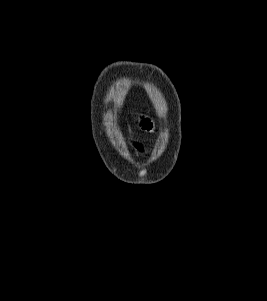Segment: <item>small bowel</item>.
<instances>
[{
  "instance_id": "c3829d8e",
  "label": "small bowel",
  "mask_w": 267,
  "mask_h": 301,
  "mask_svg": "<svg viewBox=\"0 0 267 301\" xmlns=\"http://www.w3.org/2000/svg\"><path fill=\"white\" fill-rule=\"evenodd\" d=\"M140 126H141V128H142L143 130H145V131H151V130L153 129L152 122H151V120H150L149 118H147V117H142V118L140 119ZM135 148H136L138 151L143 150L142 145H140V144H138V143L135 144Z\"/></svg>"
}]
</instances>
